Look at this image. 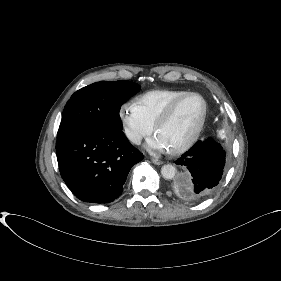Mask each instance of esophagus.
<instances>
[{
    "mask_svg": "<svg viewBox=\"0 0 281 281\" xmlns=\"http://www.w3.org/2000/svg\"><path fill=\"white\" fill-rule=\"evenodd\" d=\"M151 161L155 164V165H160L162 164V161L157 159V158H152Z\"/></svg>",
    "mask_w": 281,
    "mask_h": 281,
    "instance_id": "34e87169",
    "label": "esophagus"
}]
</instances>
